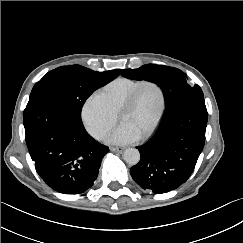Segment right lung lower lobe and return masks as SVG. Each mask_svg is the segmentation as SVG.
Masks as SVG:
<instances>
[{"label": "right lung lower lobe", "mask_w": 243, "mask_h": 243, "mask_svg": "<svg viewBox=\"0 0 243 243\" xmlns=\"http://www.w3.org/2000/svg\"><path fill=\"white\" fill-rule=\"evenodd\" d=\"M23 121L30 156L48 186L79 194L93 185L109 148L86 132L79 116L60 102L34 97L29 98Z\"/></svg>", "instance_id": "right-lung-lower-lobe-1"}]
</instances>
